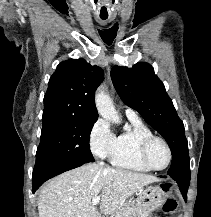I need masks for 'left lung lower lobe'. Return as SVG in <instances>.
<instances>
[{
  "mask_svg": "<svg viewBox=\"0 0 211 217\" xmlns=\"http://www.w3.org/2000/svg\"><path fill=\"white\" fill-rule=\"evenodd\" d=\"M169 177L178 183L179 189L184 197V200L187 201V191L190 183V178L177 177V176H169Z\"/></svg>",
  "mask_w": 211,
  "mask_h": 217,
  "instance_id": "1",
  "label": "left lung lower lobe"
}]
</instances>
